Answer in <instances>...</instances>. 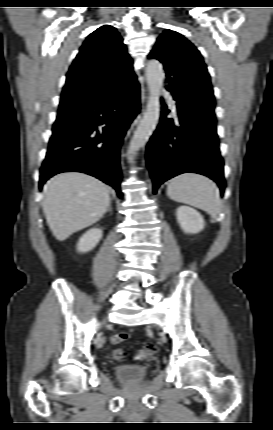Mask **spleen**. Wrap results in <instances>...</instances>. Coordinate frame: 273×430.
I'll list each match as a JSON object with an SVG mask.
<instances>
[{
    "instance_id": "1",
    "label": "spleen",
    "mask_w": 273,
    "mask_h": 430,
    "mask_svg": "<svg viewBox=\"0 0 273 430\" xmlns=\"http://www.w3.org/2000/svg\"><path fill=\"white\" fill-rule=\"evenodd\" d=\"M171 200L201 209L215 217L222 211L216 184L204 175L182 173L172 178L167 187Z\"/></svg>"
}]
</instances>
